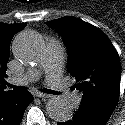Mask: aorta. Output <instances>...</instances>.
<instances>
[{
    "instance_id": "aorta-1",
    "label": "aorta",
    "mask_w": 125,
    "mask_h": 125,
    "mask_svg": "<svg viewBox=\"0 0 125 125\" xmlns=\"http://www.w3.org/2000/svg\"><path fill=\"white\" fill-rule=\"evenodd\" d=\"M42 47L41 39L32 32L20 33L13 42L15 56L24 63L37 60ZM48 116L58 122L71 119L73 109L71 104L63 97H53L46 104Z\"/></svg>"
}]
</instances>
